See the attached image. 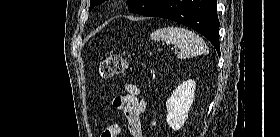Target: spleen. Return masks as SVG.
<instances>
[{"instance_id": "obj_1", "label": "spleen", "mask_w": 280, "mask_h": 137, "mask_svg": "<svg viewBox=\"0 0 280 137\" xmlns=\"http://www.w3.org/2000/svg\"><path fill=\"white\" fill-rule=\"evenodd\" d=\"M150 37L154 41H165L167 44L178 46V57L181 59L209 53L206 43L199 35L182 27L160 28L152 32Z\"/></svg>"}]
</instances>
